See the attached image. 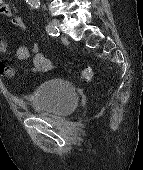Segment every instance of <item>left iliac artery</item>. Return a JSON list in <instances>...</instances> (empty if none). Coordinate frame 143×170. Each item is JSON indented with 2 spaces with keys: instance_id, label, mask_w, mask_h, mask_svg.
<instances>
[{
  "instance_id": "1",
  "label": "left iliac artery",
  "mask_w": 143,
  "mask_h": 170,
  "mask_svg": "<svg viewBox=\"0 0 143 170\" xmlns=\"http://www.w3.org/2000/svg\"><path fill=\"white\" fill-rule=\"evenodd\" d=\"M46 31L52 35V36H59L60 33H59V29L57 28V26L49 23L46 27Z\"/></svg>"
}]
</instances>
